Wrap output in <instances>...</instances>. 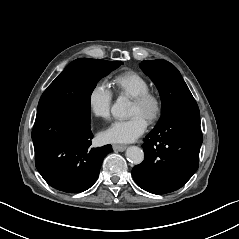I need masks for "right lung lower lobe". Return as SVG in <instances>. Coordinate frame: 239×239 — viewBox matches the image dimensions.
<instances>
[{"label":"right lung lower lobe","mask_w":239,"mask_h":239,"mask_svg":"<svg viewBox=\"0 0 239 239\" xmlns=\"http://www.w3.org/2000/svg\"><path fill=\"white\" fill-rule=\"evenodd\" d=\"M90 108L64 101L38 109L32 130L36 168L53 188L80 193L97 180L111 145L91 147Z\"/></svg>","instance_id":"98d812e1"}]
</instances>
